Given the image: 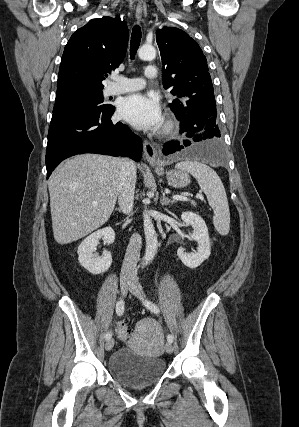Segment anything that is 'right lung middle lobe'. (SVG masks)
Here are the masks:
<instances>
[{"instance_id":"right-lung-middle-lobe-1","label":"right lung middle lobe","mask_w":299,"mask_h":427,"mask_svg":"<svg viewBox=\"0 0 299 427\" xmlns=\"http://www.w3.org/2000/svg\"><path fill=\"white\" fill-rule=\"evenodd\" d=\"M103 102L102 92L93 93L89 95L79 96L68 100L56 102L54 105L53 113L60 112L76 106H96L99 109H111V105H101Z\"/></svg>"}]
</instances>
